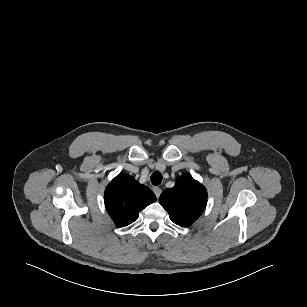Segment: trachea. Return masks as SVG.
Returning <instances> with one entry per match:
<instances>
[{"label": "trachea", "mask_w": 307, "mask_h": 307, "mask_svg": "<svg viewBox=\"0 0 307 307\" xmlns=\"http://www.w3.org/2000/svg\"><path fill=\"white\" fill-rule=\"evenodd\" d=\"M162 182V174L160 172H154L151 175V183L155 186L159 185Z\"/></svg>", "instance_id": "obj_1"}]
</instances>
